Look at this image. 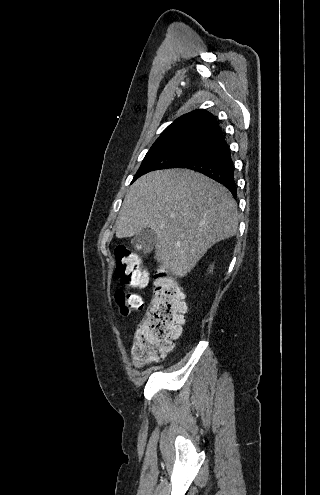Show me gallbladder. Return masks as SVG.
<instances>
[{"label":"gallbladder","mask_w":320,"mask_h":495,"mask_svg":"<svg viewBox=\"0 0 320 495\" xmlns=\"http://www.w3.org/2000/svg\"><path fill=\"white\" fill-rule=\"evenodd\" d=\"M156 242L157 235L151 228H146L139 231L132 241L134 245L137 243L142 244L146 253L150 252L153 249Z\"/></svg>","instance_id":"bac80fb5"}]
</instances>
